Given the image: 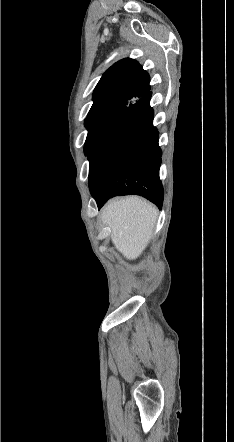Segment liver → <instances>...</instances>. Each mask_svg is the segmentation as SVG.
I'll use <instances>...</instances> for the list:
<instances>
[{
  "label": "liver",
  "instance_id": "6515ba94",
  "mask_svg": "<svg viewBox=\"0 0 234 442\" xmlns=\"http://www.w3.org/2000/svg\"><path fill=\"white\" fill-rule=\"evenodd\" d=\"M156 207L137 196L113 199L102 209L111 228L115 248L127 259H136L146 248L157 220Z\"/></svg>",
  "mask_w": 234,
  "mask_h": 442
}]
</instances>
